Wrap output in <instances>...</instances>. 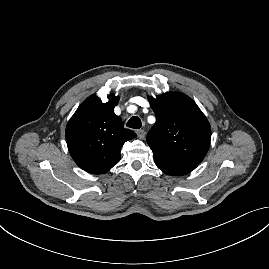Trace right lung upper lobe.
Segmentation results:
<instances>
[{"label":"right lung upper lobe","mask_w":269,"mask_h":269,"mask_svg":"<svg viewBox=\"0 0 269 269\" xmlns=\"http://www.w3.org/2000/svg\"><path fill=\"white\" fill-rule=\"evenodd\" d=\"M119 97L113 94L103 103L99 97H88L76 110L66 127L68 150L84 171L102 174L116 165L123 144L136 134L124 128L114 113Z\"/></svg>","instance_id":"1"}]
</instances>
